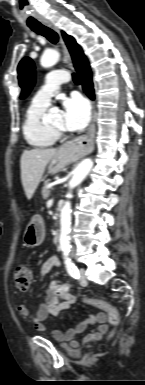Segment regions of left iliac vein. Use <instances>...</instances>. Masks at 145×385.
Returning <instances> with one entry per match:
<instances>
[{
	"label": "left iliac vein",
	"instance_id": "4c4485c4",
	"mask_svg": "<svg viewBox=\"0 0 145 385\" xmlns=\"http://www.w3.org/2000/svg\"><path fill=\"white\" fill-rule=\"evenodd\" d=\"M79 281L81 284L87 283V279H86V275H85V269H83V268L79 269Z\"/></svg>",
	"mask_w": 145,
	"mask_h": 385
}]
</instances>
